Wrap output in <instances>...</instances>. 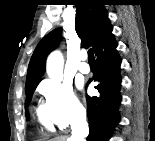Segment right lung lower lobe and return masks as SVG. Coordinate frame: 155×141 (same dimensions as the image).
I'll use <instances>...</instances> for the list:
<instances>
[{
  "mask_svg": "<svg viewBox=\"0 0 155 141\" xmlns=\"http://www.w3.org/2000/svg\"><path fill=\"white\" fill-rule=\"evenodd\" d=\"M112 32L94 49L98 71L93 80L99 82L95 88L98 96H86L89 120V141L106 140L119 122L118 106L121 102L120 86L121 58Z\"/></svg>",
  "mask_w": 155,
  "mask_h": 141,
  "instance_id": "obj_1",
  "label": "right lung lower lobe"
}]
</instances>
